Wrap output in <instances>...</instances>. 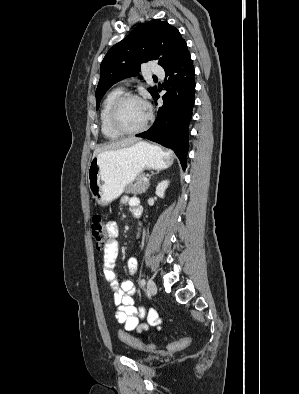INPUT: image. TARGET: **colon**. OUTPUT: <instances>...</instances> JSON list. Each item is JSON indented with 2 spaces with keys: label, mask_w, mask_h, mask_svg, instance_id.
<instances>
[{
  "label": "colon",
  "mask_w": 299,
  "mask_h": 394,
  "mask_svg": "<svg viewBox=\"0 0 299 394\" xmlns=\"http://www.w3.org/2000/svg\"><path fill=\"white\" fill-rule=\"evenodd\" d=\"M91 234H92V237L94 239V242H95V245L97 248L102 249V248L106 247L108 240H109V235H108L107 226H106L104 216H102L100 214L94 215V217L92 219V223H91ZM118 335H119V338L121 341H123L131 346L137 347L142 350L151 348V347H145L140 342L134 340L133 338H131L128 334H126L123 331H119ZM190 343H191V339L185 338L179 342L172 344L171 347L174 349L183 348V347H187L188 345H190Z\"/></svg>",
  "instance_id": "colon-1"
}]
</instances>
